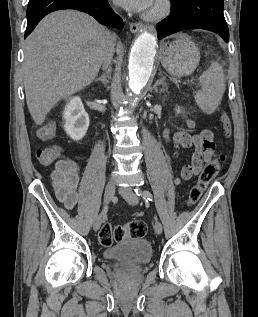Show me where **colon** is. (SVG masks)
Wrapping results in <instances>:
<instances>
[{
	"mask_svg": "<svg viewBox=\"0 0 258 317\" xmlns=\"http://www.w3.org/2000/svg\"><path fill=\"white\" fill-rule=\"evenodd\" d=\"M220 125L226 137L231 136L232 126L229 117L222 114ZM61 155V149L58 146L39 149L36 152L37 159L42 164H50ZM224 155H219L216 159L208 162L203 168L197 184L191 189L187 203L193 205L199 201L203 192L218 175L221 169V163ZM147 232L146 224L142 221H131L124 225L112 226L110 223H104L99 231L98 238L102 245L111 246L115 242L123 239H140Z\"/></svg>",
	"mask_w": 258,
	"mask_h": 317,
	"instance_id": "obj_1",
	"label": "colon"
}]
</instances>
